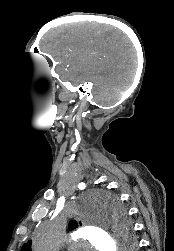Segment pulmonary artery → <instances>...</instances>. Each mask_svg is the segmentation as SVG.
Wrapping results in <instances>:
<instances>
[{
    "instance_id": "obj_1",
    "label": "pulmonary artery",
    "mask_w": 174,
    "mask_h": 251,
    "mask_svg": "<svg viewBox=\"0 0 174 251\" xmlns=\"http://www.w3.org/2000/svg\"><path fill=\"white\" fill-rule=\"evenodd\" d=\"M86 247H90L88 244H85Z\"/></svg>"
}]
</instances>
